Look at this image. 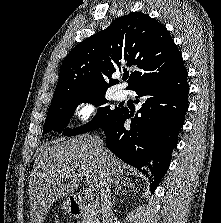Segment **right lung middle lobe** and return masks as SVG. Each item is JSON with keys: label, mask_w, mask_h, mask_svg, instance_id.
Masks as SVG:
<instances>
[{"label": "right lung middle lobe", "mask_w": 221, "mask_h": 223, "mask_svg": "<svg viewBox=\"0 0 221 223\" xmlns=\"http://www.w3.org/2000/svg\"><path fill=\"white\" fill-rule=\"evenodd\" d=\"M104 94L105 92L79 94L51 102L43 133H48L52 130L61 132L67 126L76 107L82 102L92 103L96 106L106 104L108 101L105 99ZM120 109L119 107L110 108V106H103L97 110L95 117L86 125L73 130L65 129L63 131L64 135L73 136L98 129L116 115Z\"/></svg>", "instance_id": "dd1d6c3e"}]
</instances>
